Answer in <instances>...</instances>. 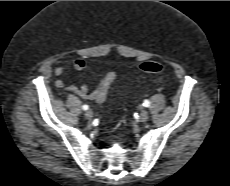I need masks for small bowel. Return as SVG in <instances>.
I'll return each mask as SVG.
<instances>
[{"label":"small bowel","mask_w":230,"mask_h":186,"mask_svg":"<svg viewBox=\"0 0 230 186\" xmlns=\"http://www.w3.org/2000/svg\"><path fill=\"white\" fill-rule=\"evenodd\" d=\"M72 66L76 70H84L88 67V64L85 60L77 59L73 62ZM64 72L65 67L58 66L54 70V75L60 77ZM110 84L111 82L108 80V74L99 81L98 85L93 90H90L86 85H67L66 82L62 79H58L55 82L57 88L63 89L66 92L73 93L83 99L92 100L97 103H102L105 100Z\"/></svg>","instance_id":"small-bowel-1"}]
</instances>
